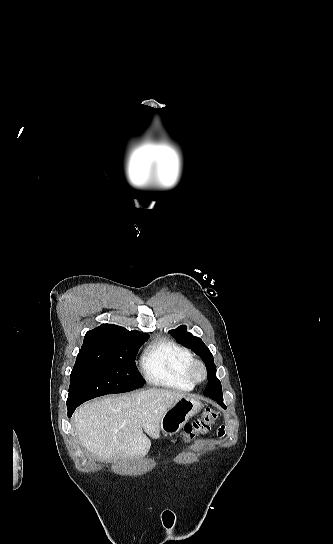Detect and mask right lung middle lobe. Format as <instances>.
Here are the masks:
<instances>
[{
  "instance_id": "dd1d6c3e",
  "label": "right lung middle lobe",
  "mask_w": 333,
  "mask_h": 544,
  "mask_svg": "<svg viewBox=\"0 0 333 544\" xmlns=\"http://www.w3.org/2000/svg\"><path fill=\"white\" fill-rule=\"evenodd\" d=\"M147 339L117 340L105 352L80 351L70 375L67 406L141 388L144 379L137 371L135 356Z\"/></svg>"
}]
</instances>
